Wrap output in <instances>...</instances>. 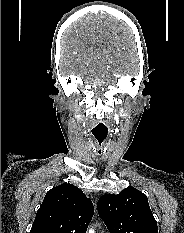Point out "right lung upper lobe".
Returning <instances> with one entry per match:
<instances>
[{
  "label": "right lung upper lobe",
  "instance_id": "cb5924a9",
  "mask_svg": "<svg viewBox=\"0 0 184 233\" xmlns=\"http://www.w3.org/2000/svg\"><path fill=\"white\" fill-rule=\"evenodd\" d=\"M94 207L78 187L63 183L47 192L30 233H86Z\"/></svg>",
  "mask_w": 184,
  "mask_h": 233
}]
</instances>
